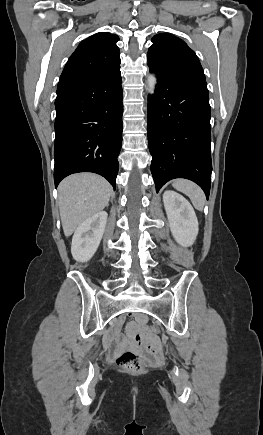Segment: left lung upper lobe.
<instances>
[{
  "instance_id": "1",
  "label": "left lung upper lobe",
  "mask_w": 263,
  "mask_h": 435,
  "mask_svg": "<svg viewBox=\"0 0 263 435\" xmlns=\"http://www.w3.org/2000/svg\"><path fill=\"white\" fill-rule=\"evenodd\" d=\"M147 61L157 72L168 77L207 87L200 61L181 39L166 33L155 35Z\"/></svg>"
}]
</instances>
